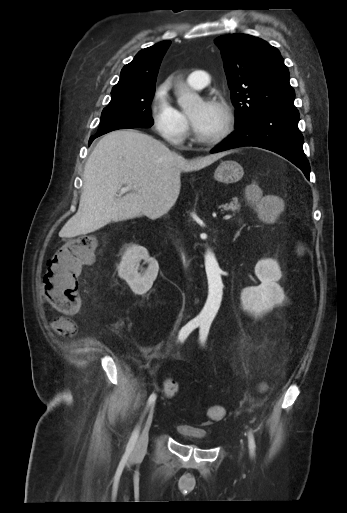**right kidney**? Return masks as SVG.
I'll list each match as a JSON object with an SVG mask.
<instances>
[{
  "label": "right kidney",
  "instance_id": "ca27d5eb",
  "mask_svg": "<svg viewBox=\"0 0 347 513\" xmlns=\"http://www.w3.org/2000/svg\"><path fill=\"white\" fill-rule=\"evenodd\" d=\"M141 260L149 264L143 274L138 273ZM117 269L118 275L127 282L131 290L135 294L142 295L152 287L159 265L155 259L149 257L146 248L135 245L124 252Z\"/></svg>",
  "mask_w": 347,
  "mask_h": 513
}]
</instances>
